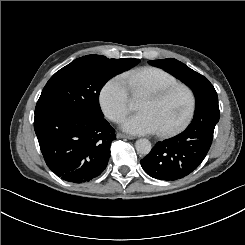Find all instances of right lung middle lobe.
Listing matches in <instances>:
<instances>
[{
    "label": "right lung middle lobe",
    "instance_id": "right-lung-middle-lobe-1",
    "mask_svg": "<svg viewBox=\"0 0 245 245\" xmlns=\"http://www.w3.org/2000/svg\"><path fill=\"white\" fill-rule=\"evenodd\" d=\"M133 58L108 59L101 55L80 57L57 71L45 85L36 104L35 115L66 110L103 119L99 93L104 84L138 64Z\"/></svg>",
    "mask_w": 245,
    "mask_h": 245
}]
</instances>
